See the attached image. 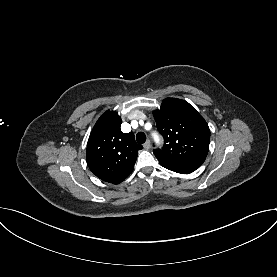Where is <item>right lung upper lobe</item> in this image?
<instances>
[{"label": "right lung upper lobe", "instance_id": "obj_1", "mask_svg": "<svg viewBox=\"0 0 277 277\" xmlns=\"http://www.w3.org/2000/svg\"><path fill=\"white\" fill-rule=\"evenodd\" d=\"M121 118L115 111H106L90 133L86 160L90 170L103 181L119 184L134 169L138 150L134 134L123 133Z\"/></svg>", "mask_w": 277, "mask_h": 277}]
</instances>
